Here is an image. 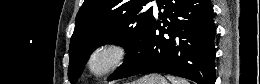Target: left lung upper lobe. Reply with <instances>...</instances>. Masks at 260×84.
Segmentation results:
<instances>
[{
    "mask_svg": "<svg viewBox=\"0 0 260 84\" xmlns=\"http://www.w3.org/2000/svg\"><path fill=\"white\" fill-rule=\"evenodd\" d=\"M150 0H85L75 21L69 46V80L80 76L89 55L100 45L114 43L125 47L124 64L109 77L114 79L139 55L147 31L154 19L153 8L143 12Z\"/></svg>",
    "mask_w": 260,
    "mask_h": 84,
    "instance_id": "1",
    "label": "left lung upper lobe"
}]
</instances>
